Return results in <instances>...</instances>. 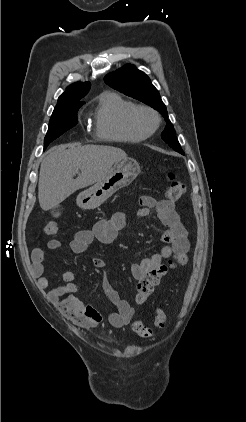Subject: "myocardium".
<instances>
[{"mask_svg": "<svg viewBox=\"0 0 246 422\" xmlns=\"http://www.w3.org/2000/svg\"><path fill=\"white\" fill-rule=\"evenodd\" d=\"M148 119L151 124L148 123ZM131 121L137 130L150 136L159 129L162 120L155 109L148 106H138L132 113Z\"/></svg>", "mask_w": 246, "mask_h": 422, "instance_id": "1", "label": "myocardium"}]
</instances>
